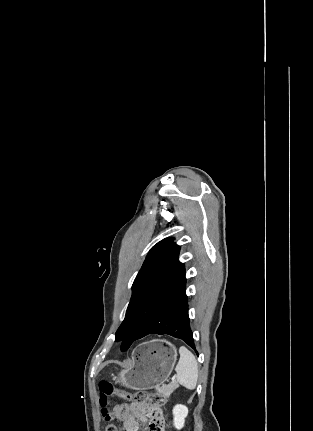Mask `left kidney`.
Wrapping results in <instances>:
<instances>
[{"label": "left kidney", "mask_w": 313, "mask_h": 431, "mask_svg": "<svg viewBox=\"0 0 313 431\" xmlns=\"http://www.w3.org/2000/svg\"><path fill=\"white\" fill-rule=\"evenodd\" d=\"M188 415V408L185 405L178 404L173 408L174 426L180 430L183 428L185 418Z\"/></svg>", "instance_id": "left-kidney-1"}]
</instances>
